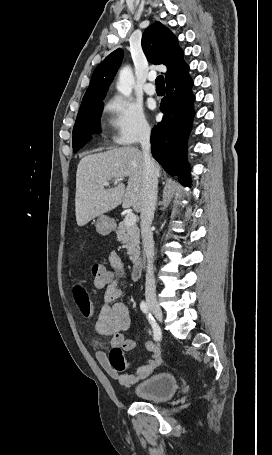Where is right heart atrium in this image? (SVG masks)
<instances>
[{
	"label": "right heart atrium",
	"mask_w": 272,
	"mask_h": 455,
	"mask_svg": "<svg viewBox=\"0 0 272 455\" xmlns=\"http://www.w3.org/2000/svg\"><path fill=\"white\" fill-rule=\"evenodd\" d=\"M113 140L118 145H133L146 139L150 126L142 108L136 103L116 97L107 104Z\"/></svg>",
	"instance_id": "right-heart-atrium-1"
}]
</instances>
